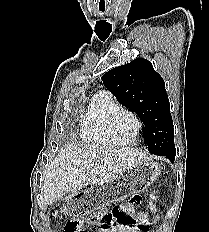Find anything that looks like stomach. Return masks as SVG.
<instances>
[{
	"mask_svg": "<svg viewBox=\"0 0 209 232\" xmlns=\"http://www.w3.org/2000/svg\"><path fill=\"white\" fill-rule=\"evenodd\" d=\"M161 166L154 161H143L126 171H119V176H112L110 182H101L100 186H90L83 194H73L66 198L62 214H69L75 221H88V214L103 208L119 199H128L129 194L143 191L160 175Z\"/></svg>",
	"mask_w": 209,
	"mask_h": 232,
	"instance_id": "1",
	"label": "stomach"
}]
</instances>
